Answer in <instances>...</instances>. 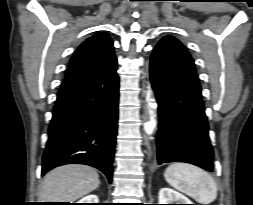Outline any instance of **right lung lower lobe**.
Instances as JSON below:
<instances>
[{
  "mask_svg": "<svg viewBox=\"0 0 253 205\" xmlns=\"http://www.w3.org/2000/svg\"><path fill=\"white\" fill-rule=\"evenodd\" d=\"M117 60L104 69L65 80L57 94L42 175L64 164L98 168L112 182L117 135Z\"/></svg>",
  "mask_w": 253,
  "mask_h": 205,
  "instance_id": "1",
  "label": "right lung lower lobe"
}]
</instances>
